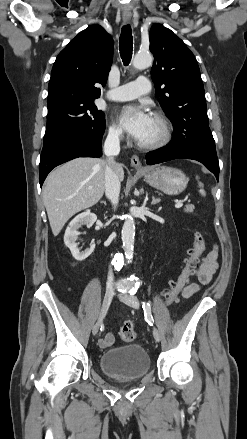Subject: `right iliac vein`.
Returning <instances> with one entry per match:
<instances>
[{
  "mask_svg": "<svg viewBox=\"0 0 247 439\" xmlns=\"http://www.w3.org/2000/svg\"><path fill=\"white\" fill-rule=\"evenodd\" d=\"M113 295H114L113 289L107 288L105 295H104V298H103V303H102L99 318H98L96 324L93 326V330H92L93 335H96L98 333V330H99L100 325L103 321V318H104V316H105V314H106V312L111 304V301L113 299Z\"/></svg>",
  "mask_w": 247,
  "mask_h": 439,
  "instance_id": "63e3f726",
  "label": "right iliac vein"
}]
</instances>
